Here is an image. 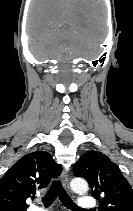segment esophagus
<instances>
[{"label": "esophagus", "mask_w": 133, "mask_h": 211, "mask_svg": "<svg viewBox=\"0 0 133 211\" xmlns=\"http://www.w3.org/2000/svg\"><path fill=\"white\" fill-rule=\"evenodd\" d=\"M61 182H62L64 188L69 190V176L65 170H63L61 173Z\"/></svg>", "instance_id": "34e87169"}]
</instances>
